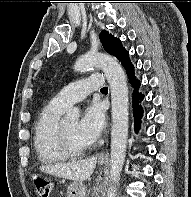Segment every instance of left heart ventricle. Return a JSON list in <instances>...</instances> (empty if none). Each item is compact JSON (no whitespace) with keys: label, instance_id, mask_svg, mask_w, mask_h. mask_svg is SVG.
<instances>
[{"label":"left heart ventricle","instance_id":"1","mask_svg":"<svg viewBox=\"0 0 191 197\" xmlns=\"http://www.w3.org/2000/svg\"><path fill=\"white\" fill-rule=\"evenodd\" d=\"M63 126L73 146L78 147V148L87 146L78 138V134H77L78 122L77 121L66 122L63 124Z\"/></svg>","mask_w":191,"mask_h":197}]
</instances>
